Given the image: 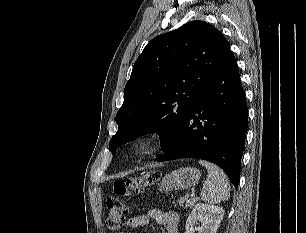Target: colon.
<instances>
[{
	"mask_svg": "<svg viewBox=\"0 0 306 233\" xmlns=\"http://www.w3.org/2000/svg\"><path fill=\"white\" fill-rule=\"evenodd\" d=\"M156 172H145L139 177L125 182L116 181L112 185L113 197L107 200L105 213V224L109 230H119L127 215V206L122 197H129L141 192L146 186L152 184L157 179Z\"/></svg>",
	"mask_w": 306,
	"mask_h": 233,
	"instance_id": "obj_1",
	"label": "colon"
}]
</instances>
